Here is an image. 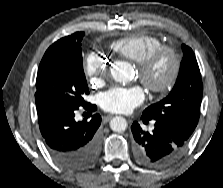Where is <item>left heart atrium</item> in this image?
Instances as JSON below:
<instances>
[{
	"label": "left heart atrium",
	"mask_w": 223,
	"mask_h": 188,
	"mask_svg": "<svg viewBox=\"0 0 223 188\" xmlns=\"http://www.w3.org/2000/svg\"><path fill=\"white\" fill-rule=\"evenodd\" d=\"M145 92L142 87H112L99 96L101 108L109 113H129L143 103Z\"/></svg>",
	"instance_id": "1"
}]
</instances>
